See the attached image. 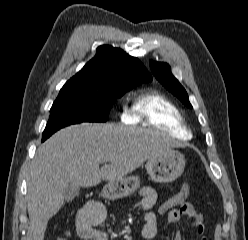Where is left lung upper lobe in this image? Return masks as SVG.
<instances>
[{"label": "left lung upper lobe", "instance_id": "left-lung-upper-lobe-1", "mask_svg": "<svg viewBox=\"0 0 248 240\" xmlns=\"http://www.w3.org/2000/svg\"><path fill=\"white\" fill-rule=\"evenodd\" d=\"M150 67L156 79L169 92L178 97L187 107L192 108L187 92L179 83V81L172 75L170 66L168 64L150 61Z\"/></svg>", "mask_w": 248, "mask_h": 240}]
</instances>
